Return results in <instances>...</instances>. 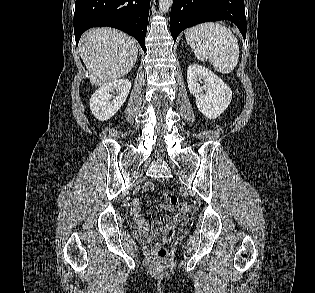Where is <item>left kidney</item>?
<instances>
[{"instance_id":"left-kidney-1","label":"left kidney","mask_w":315,"mask_h":293,"mask_svg":"<svg viewBox=\"0 0 315 293\" xmlns=\"http://www.w3.org/2000/svg\"><path fill=\"white\" fill-rule=\"evenodd\" d=\"M187 83L190 93L196 98L197 108L209 119L219 117L231 102V89L205 67L190 65L187 70ZM203 90L205 93H202Z\"/></svg>"}]
</instances>
